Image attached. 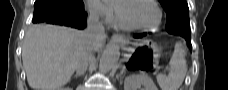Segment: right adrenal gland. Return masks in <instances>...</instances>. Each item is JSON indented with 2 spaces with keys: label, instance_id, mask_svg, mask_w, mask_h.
I'll return each mask as SVG.
<instances>
[{
  "label": "right adrenal gland",
  "instance_id": "right-adrenal-gland-1",
  "mask_svg": "<svg viewBox=\"0 0 228 90\" xmlns=\"http://www.w3.org/2000/svg\"><path fill=\"white\" fill-rule=\"evenodd\" d=\"M79 76H80V75L76 74L74 77L77 78V77H79Z\"/></svg>",
  "mask_w": 228,
  "mask_h": 90
}]
</instances>
